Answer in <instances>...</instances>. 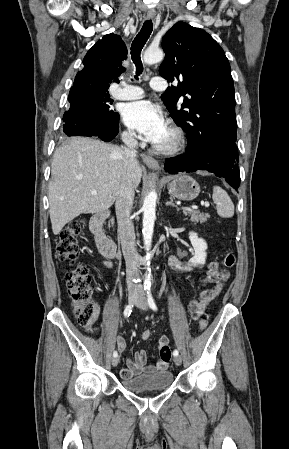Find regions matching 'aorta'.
I'll return each instance as SVG.
<instances>
[{
	"instance_id": "aorta-1",
	"label": "aorta",
	"mask_w": 289,
	"mask_h": 449,
	"mask_svg": "<svg viewBox=\"0 0 289 449\" xmlns=\"http://www.w3.org/2000/svg\"><path fill=\"white\" fill-rule=\"evenodd\" d=\"M163 51L159 48H148L143 56L144 62L146 64H154L163 60ZM156 200L157 193L154 189H152L144 199L143 202V239L145 249L147 251L151 248V242L153 237V229L155 222V211H156ZM147 259H149V254H147ZM149 264V262H148ZM149 273L146 275L145 279V287L151 286V274L150 269L148 268Z\"/></svg>"
}]
</instances>
